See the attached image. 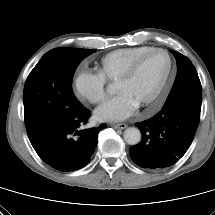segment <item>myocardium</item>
I'll return each mask as SVG.
<instances>
[{
    "instance_id": "myocardium-1",
    "label": "myocardium",
    "mask_w": 215,
    "mask_h": 215,
    "mask_svg": "<svg viewBox=\"0 0 215 215\" xmlns=\"http://www.w3.org/2000/svg\"><path fill=\"white\" fill-rule=\"evenodd\" d=\"M157 52L163 53L167 56L168 68H167L166 74H165L161 84L157 88V90L147 101H145L143 104H141V106H149V105L153 104L160 97V95L163 93L164 89L166 88L168 81L170 79L172 70H173V59H172L171 54L163 48H152V49L144 52L140 56H138L136 59H134L116 81V83H119V82H125V81H128L129 79H131L132 76L137 71L140 64L143 62V60L146 57H148L149 55H151L153 53H157Z\"/></svg>"
}]
</instances>
